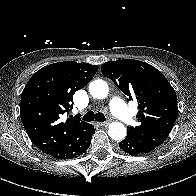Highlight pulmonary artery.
<instances>
[{"mask_svg":"<svg viewBox=\"0 0 196 196\" xmlns=\"http://www.w3.org/2000/svg\"><path fill=\"white\" fill-rule=\"evenodd\" d=\"M113 114L121 121L129 123L132 120L130 109L119 99L113 97L109 101Z\"/></svg>","mask_w":196,"mask_h":196,"instance_id":"e3ab8cb5","label":"pulmonary artery"}]
</instances>
